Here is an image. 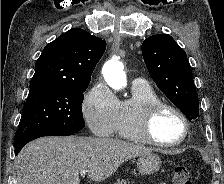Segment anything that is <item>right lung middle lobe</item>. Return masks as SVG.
<instances>
[{"instance_id": "right-lung-middle-lobe-1", "label": "right lung middle lobe", "mask_w": 224, "mask_h": 184, "mask_svg": "<svg viewBox=\"0 0 224 184\" xmlns=\"http://www.w3.org/2000/svg\"><path fill=\"white\" fill-rule=\"evenodd\" d=\"M87 87L88 84L31 87L15 134V145L39 133H76L84 128L81 105Z\"/></svg>"}]
</instances>
